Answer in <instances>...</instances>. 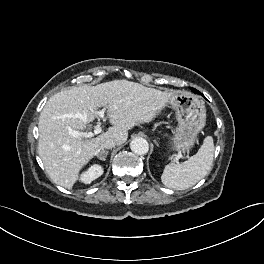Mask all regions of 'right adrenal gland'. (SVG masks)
I'll use <instances>...</instances> for the list:
<instances>
[{
  "label": "right adrenal gland",
  "mask_w": 264,
  "mask_h": 264,
  "mask_svg": "<svg viewBox=\"0 0 264 264\" xmlns=\"http://www.w3.org/2000/svg\"><path fill=\"white\" fill-rule=\"evenodd\" d=\"M107 155H108V151H104V150H103V151H100V152L97 154L96 157H97L99 160L105 161Z\"/></svg>",
  "instance_id": "obj_1"
}]
</instances>
